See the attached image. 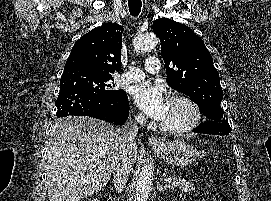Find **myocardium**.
<instances>
[{"instance_id": "myocardium-1", "label": "myocardium", "mask_w": 271, "mask_h": 201, "mask_svg": "<svg viewBox=\"0 0 271 201\" xmlns=\"http://www.w3.org/2000/svg\"><path fill=\"white\" fill-rule=\"evenodd\" d=\"M171 102H178L186 107L189 113L188 121L178 127H170L163 123H160V129L162 132L171 135H182L195 129L201 122V112L198 105L188 96L183 94H174L170 98Z\"/></svg>"}]
</instances>
